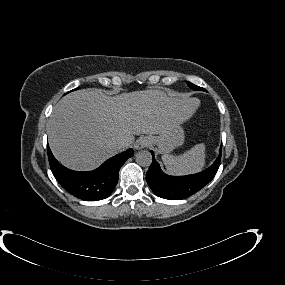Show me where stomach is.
I'll use <instances>...</instances> for the list:
<instances>
[{"label":"stomach","instance_id":"0dacf381","mask_svg":"<svg viewBox=\"0 0 285 285\" xmlns=\"http://www.w3.org/2000/svg\"><path fill=\"white\" fill-rule=\"evenodd\" d=\"M153 144L158 147L160 153L167 154L174 148L181 146L185 140L181 123H176L164 133L152 137Z\"/></svg>","mask_w":285,"mask_h":285}]
</instances>
